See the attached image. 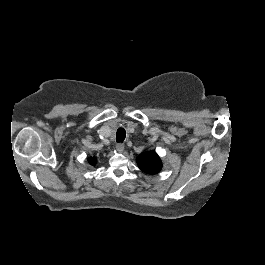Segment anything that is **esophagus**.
Masks as SVG:
<instances>
[{"label":"esophagus","mask_w":265,"mask_h":265,"mask_svg":"<svg viewBox=\"0 0 265 265\" xmlns=\"http://www.w3.org/2000/svg\"><path fill=\"white\" fill-rule=\"evenodd\" d=\"M116 149L118 152H122L124 150V144L121 143L117 144Z\"/></svg>","instance_id":"obj_1"}]
</instances>
